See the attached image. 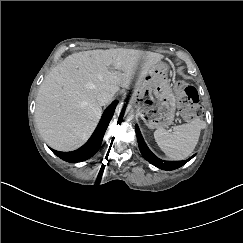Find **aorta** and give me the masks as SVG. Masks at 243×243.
<instances>
[{"label":"aorta","mask_w":243,"mask_h":243,"mask_svg":"<svg viewBox=\"0 0 243 243\" xmlns=\"http://www.w3.org/2000/svg\"><path fill=\"white\" fill-rule=\"evenodd\" d=\"M115 111L121 119L132 120L134 117V109L125 101L118 102Z\"/></svg>","instance_id":"1"}]
</instances>
